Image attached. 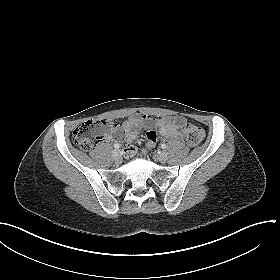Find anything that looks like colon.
Wrapping results in <instances>:
<instances>
[{"instance_id":"1","label":"colon","mask_w":280,"mask_h":280,"mask_svg":"<svg viewBox=\"0 0 280 280\" xmlns=\"http://www.w3.org/2000/svg\"><path fill=\"white\" fill-rule=\"evenodd\" d=\"M115 125L111 119L85 121L74 130L72 141L82 150L91 151ZM184 131L188 144L193 146L200 144L205 136L204 131L194 124H187Z\"/></svg>"}]
</instances>
